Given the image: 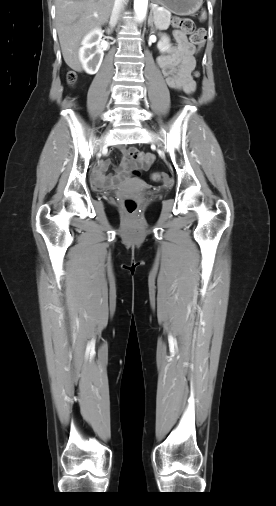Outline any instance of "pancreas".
<instances>
[{
  "instance_id": "obj_1",
  "label": "pancreas",
  "mask_w": 276,
  "mask_h": 506,
  "mask_svg": "<svg viewBox=\"0 0 276 506\" xmlns=\"http://www.w3.org/2000/svg\"><path fill=\"white\" fill-rule=\"evenodd\" d=\"M155 25L160 30H165L171 23V13L166 9H154Z\"/></svg>"
}]
</instances>
